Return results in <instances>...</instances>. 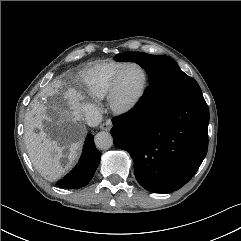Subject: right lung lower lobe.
Segmentation results:
<instances>
[{"label":"right lung lower lobe","instance_id":"98d812e1","mask_svg":"<svg viewBox=\"0 0 241 241\" xmlns=\"http://www.w3.org/2000/svg\"><path fill=\"white\" fill-rule=\"evenodd\" d=\"M101 153L96 149L94 136L86 137L83 152L75 168L67 174L57 185L60 188L79 189L87 185L95 174L99 165Z\"/></svg>","mask_w":241,"mask_h":241}]
</instances>
